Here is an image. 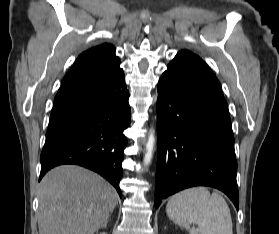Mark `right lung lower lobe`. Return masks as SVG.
I'll list each match as a JSON object with an SVG mask.
<instances>
[{
  "mask_svg": "<svg viewBox=\"0 0 279 234\" xmlns=\"http://www.w3.org/2000/svg\"><path fill=\"white\" fill-rule=\"evenodd\" d=\"M129 91L121 68L55 96L41 153L40 179L51 168L77 164L106 178L121 195L122 161L131 121Z\"/></svg>",
  "mask_w": 279,
  "mask_h": 234,
  "instance_id": "right-lung-lower-lobe-1",
  "label": "right lung lower lobe"
}]
</instances>
